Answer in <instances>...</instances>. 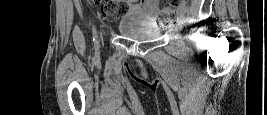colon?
<instances>
[{
	"mask_svg": "<svg viewBox=\"0 0 267 115\" xmlns=\"http://www.w3.org/2000/svg\"><path fill=\"white\" fill-rule=\"evenodd\" d=\"M184 0H171L157 12V20L161 24H168L175 19L176 8ZM128 11L125 0H105L100 7V16L107 21H115L123 17Z\"/></svg>",
	"mask_w": 267,
	"mask_h": 115,
	"instance_id": "1",
	"label": "colon"
}]
</instances>
